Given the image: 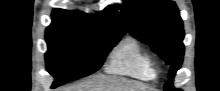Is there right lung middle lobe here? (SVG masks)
<instances>
[{"instance_id":"right-lung-middle-lobe-1","label":"right lung middle lobe","mask_w":220,"mask_h":91,"mask_svg":"<svg viewBox=\"0 0 220 91\" xmlns=\"http://www.w3.org/2000/svg\"><path fill=\"white\" fill-rule=\"evenodd\" d=\"M123 34L81 26L48 27L47 70L55 77L52 88L97 71Z\"/></svg>"}]
</instances>
